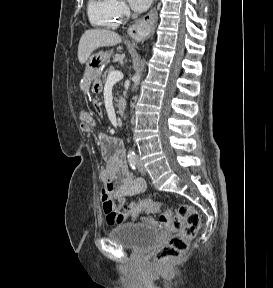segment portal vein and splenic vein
I'll use <instances>...</instances> for the list:
<instances>
[{"instance_id":"portal-vein-and-splenic-vein-1","label":"portal vein and splenic vein","mask_w":273,"mask_h":288,"mask_svg":"<svg viewBox=\"0 0 273 288\" xmlns=\"http://www.w3.org/2000/svg\"><path fill=\"white\" fill-rule=\"evenodd\" d=\"M123 78V73L120 71H113L108 75L107 84H114Z\"/></svg>"}]
</instances>
